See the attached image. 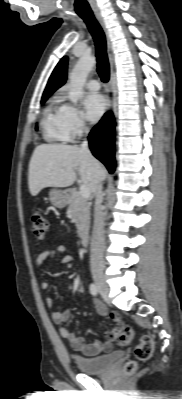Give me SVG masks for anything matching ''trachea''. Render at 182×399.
<instances>
[{
    "instance_id": "trachea-1",
    "label": "trachea",
    "mask_w": 182,
    "mask_h": 399,
    "mask_svg": "<svg viewBox=\"0 0 182 399\" xmlns=\"http://www.w3.org/2000/svg\"><path fill=\"white\" fill-rule=\"evenodd\" d=\"M85 2H81L84 4ZM80 17L86 23L96 47L97 72L103 82L109 80V63L106 53L105 34L93 14H83Z\"/></svg>"
}]
</instances>
